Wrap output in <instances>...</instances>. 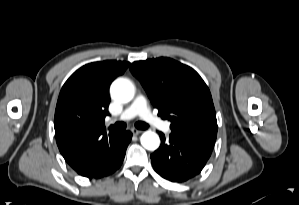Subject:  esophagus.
I'll use <instances>...</instances> for the list:
<instances>
[{
	"instance_id": "34e87169",
	"label": "esophagus",
	"mask_w": 299,
	"mask_h": 205,
	"mask_svg": "<svg viewBox=\"0 0 299 205\" xmlns=\"http://www.w3.org/2000/svg\"><path fill=\"white\" fill-rule=\"evenodd\" d=\"M131 132L133 133V135H139L140 133H142L141 130H138V129H135V128L131 129Z\"/></svg>"
}]
</instances>
